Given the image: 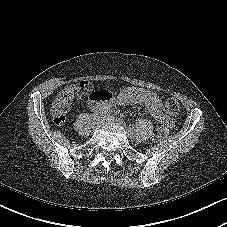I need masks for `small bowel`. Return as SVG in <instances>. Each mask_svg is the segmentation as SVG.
I'll use <instances>...</instances> for the list:
<instances>
[{
	"mask_svg": "<svg viewBox=\"0 0 227 227\" xmlns=\"http://www.w3.org/2000/svg\"><path fill=\"white\" fill-rule=\"evenodd\" d=\"M117 103L121 105L128 103L142 104L159 125H172V122L164 114L160 98L149 90L135 87L126 88L118 94Z\"/></svg>",
	"mask_w": 227,
	"mask_h": 227,
	"instance_id": "obj_1",
	"label": "small bowel"
}]
</instances>
